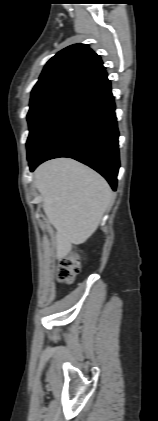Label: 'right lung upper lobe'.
<instances>
[{"label":"right lung upper lobe","mask_w":158,"mask_h":421,"mask_svg":"<svg viewBox=\"0 0 158 421\" xmlns=\"http://www.w3.org/2000/svg\"><path fill=\"white\" fill-rule=\"evenodd\" d=\"M104 70L100 56L88 45L74 44L47 62L32 92L60 83L82 85Z\"/></svg>","instance_id":"1"}]
</instances>
